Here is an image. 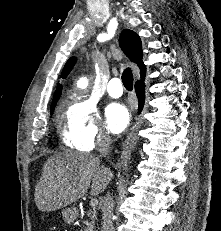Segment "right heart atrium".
Returning <instances> with one entry per match:
<instances>
[{"instance_id": "1", "label": "right heart atrium", "mask_w": 221, "mask_h": 231, "mask_svg": "<svg viewBox=\"0 0 221 231\" xmlns=\"http://www.w3.org/2000/svg\"><path fill=\"white\" fill-rule=\"evenodd\" d=\"M64 141L71 147L90 151L109 141L96 105L87 98L76 97L66 111Z\"/></svg>"}]
</instances>
